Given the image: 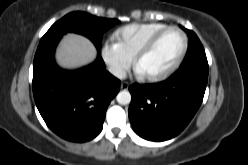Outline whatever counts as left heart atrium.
I'll use <instances>...</instances> for the list:
<instances>
[{
  "mask_svg": "<svg viewBox=\"0 0 248 165\" xmlns=\"http://www.w3.org/2000/svg\"><path fill=\"white\" fill-rule=\"evenodd\" d=\"M138 73H139V74H142L139 70H138Z\"/></svg>",
  "mask_w": 248,
  "mask_h": 165,
  "instance_id": "left-heart-atrium-1",
  "label": "left heart atrium"
}]
</instances>
